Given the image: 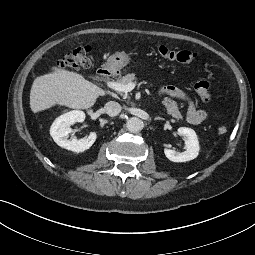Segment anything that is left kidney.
<instances>
[{"mask_svg":"<svg viewBox=\"0 0 255 255\" xmlns=\"http://www.w3.org/2000/svg\"><path fill=\"white\" fill-rule=\"evenodd\" d=\"M178 134L185 137V151L178 152L172 149H164L165 156L172 162H186L195 159L200 150L198 137L191 128L180 127Z\"/></svg>","mask_w":255,"mask_h":255,"instance_id":"left-kidney-1","label":"left kidney"}]
</instances>
